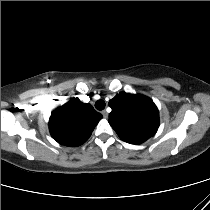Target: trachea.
Instances as JSON below:
<instances>
[{"label":"trachea","mask_w":210,"mask_h":210,"mask_svg":"<svg viewBox=\"0 0 210 210\" xmlns=\"http://www.w3.org/2000/svg\"><path fill=\"white\" fill-rule=\"evenodd\" d=\"M95 108L100 111L103 110L105 108V102L103 100L96 101Z\"/></svg>","instance_id":"3493384b"}]
</instances>
